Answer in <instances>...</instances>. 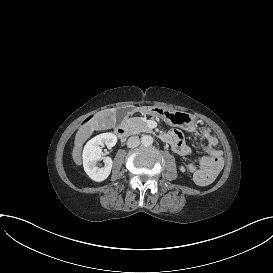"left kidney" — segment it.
<instances>
[{"label": "left kidney", "mask_w": 273, "mask_h": 273, "mask_svg": "<svg viewBox=\"0 0 273 273\" xmlns=\"http://www.w3.org/2000/svg\"><path fill=\"white\" fill-rule=\"evenodd\" d=\"M181 172H185V168L183 166L180 167Z\"/></svg>", "instance_id": "left-kidney-1"}]
</instances>
